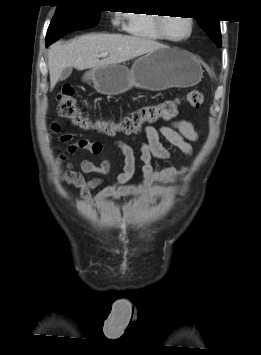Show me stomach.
Here are the masks:
<instances>
[{
	"instance_id": "1",
	"label": "stomach",
	"mask_w": 261,
	"mask_h": 355,
	"mask_svg": "<svg viewBox=\"0 0 261 355\" xmlns=\"http://www.w3.org/2000/svg\"><path fill=\"white\" fill-rule=\"evenodd\" d=\"M203 70L193 56L185 51L160 47L134 61L131 69L123 64L93 68L84 76L104 95L122 94L132 87L161 91L171 87L196 85Z\"/></svg>"
}]
</instances>
